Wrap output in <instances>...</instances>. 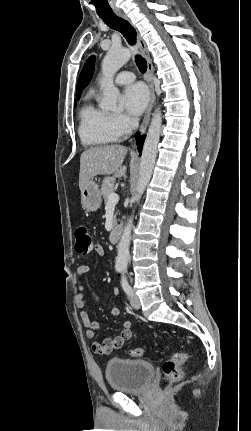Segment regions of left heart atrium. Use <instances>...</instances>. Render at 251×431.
Returning a JSON list of instances; mask_svg holds the SVG:
<instances>
[{
	"mask_svg": "<svg viewBox=\"0 0 251 431\" xmlns=\"http://www.w3.org/2000/svg\"><path fill=\"white\" fill-rule=\"evenodd\" d=\"M149 93L142 83H134L126 87L122 95V103L128 114L138 117L146 108Z\"/></svg>",
	"mask_w": 251,
	"mask_h": 431,
	"instance_id": "39dd6f15",
	"label": "left heart atrium"
}]
</instances>
